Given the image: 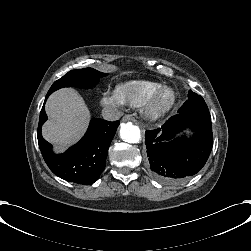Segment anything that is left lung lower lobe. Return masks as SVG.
<instances>
[{"label":"left lung lower lobe","instance_id":"obj_1","mask_svg":"<svg viewBox=\"0 0 251 251\" xmlns=\"http://www.w3.org/2000/svg\"><path fill=\"white\" fill-rule=\"evenodd\" d=\"M189 128L193 136H177ZM145 144L152 174L174 184L188 180L205 165L213 144L210 113L178 111L161 128L145 132Z\"/></svg>","mask_w":251,"mask_h":251}]
</instances>
